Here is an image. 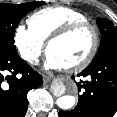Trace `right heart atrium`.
Listing matches in <instances>:
<instances>
[{"instance_id": "d8ad5b80", "label": "right heart atrium", "mask_w": 117, "mask_h": 117, "mask_svg": "<svg viewBox=\"0 0 117 117\" xmlns=\"http://www.w3.org/2000/svg\"><path fill=\"white\" fill-rule=\"evenodd\" d=\"M14 45L21 58L31 65H36L44 53V42L31 29L18 25L13 35Z\"/></svg>"}]
</instances>
